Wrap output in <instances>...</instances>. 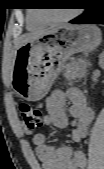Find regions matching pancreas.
Listing matches in <instances>:
<instances>
[{"label":"pancreas","instance_id":"cf45deb5","mask_svg":"<svg viewBox=\"0 0 104 169\" xmlns=\"http://www.w3.org/2000/svg\"><path fill=\"white\" fill-rule=\"evenodd\" d=\"M87 63L83 60H74L68 63L64 68V76L68 80H74L86 75Z\"/></svg>","mask_w":104,"mask_h":169}]
</instances>
